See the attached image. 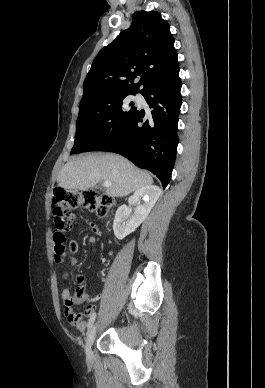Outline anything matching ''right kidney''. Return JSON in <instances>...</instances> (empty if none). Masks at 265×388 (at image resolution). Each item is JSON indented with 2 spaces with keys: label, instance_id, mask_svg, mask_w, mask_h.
Segmentation results:
<instances>
[{
  "label": "right kidney",
  "instance_id": "right-kidney-1",
  "mask_svg": "<svg viewBox=\"0 0 265 388\" xmlns=\"http://www.w3.org/2000/svg\"><path fill=\"white\" fill-rule=\"evenodd\" d=\"M160 194L161 190L157 186H143V188L136 190L128 200L130 206H136L134 214L127 206H120L118 208L113 222L114 234L118 240H123L128 234L135 232L136 228L150 214ZM141 198H143L144 204H140Z\"/></svg>",
  "mask_w": 265,
  "mask_h": 388
}]
</instances>
